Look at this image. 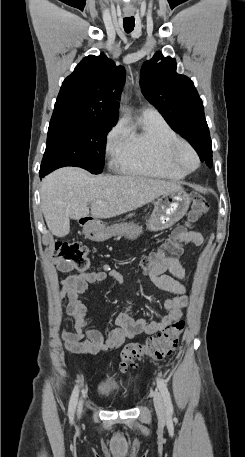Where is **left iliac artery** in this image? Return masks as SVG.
<instances>
[{
    "instance_id": "obj_1",
    "label": "left iliac artery",
    "mask_w": 245,
    "mask_h": 457,
    "mask_svg": "<svg viewBox=\"0 0 245 457\" xmlns=\"http://www.w3.org/2000/svg\"><path fill=\"white\" fill-rule=\"evenodd\" d=\"M157 386L160 390V393L163 397V401L166 407L167 413H173V405L170 397V393L168 391L166 383L162 379H157Z\"/></svg>"
}]
</instances>
